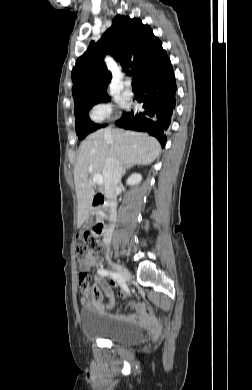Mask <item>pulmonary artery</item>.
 <instances>
[{"label":"pulmonary artery","instance_id":"obj_1","mask_svg":"<svg viewBox=\"0 0 252 390\" xmlns=\"http://www.w3.org/2000/svg\"><path fill=\"white\" fill-rule=\"evenodd\" d=\"M123 95L126 97V98H132L133 97V91L131 89V83L129 81H126L125 82V88H124V91H123Z\"/></svg>","mask_w":252,"mask_h":390}]
</instances>
